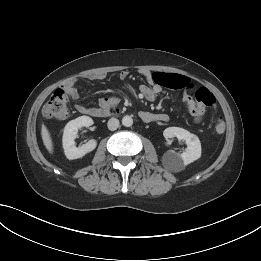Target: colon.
Instances as JSON below:
<instances>
[{"label": "colon", "instance_id": "colon-1", "mask_svg": "<svg viewBox=\"0 0 261 261\" xmlns=\"http://www.w3.org/2000/svg\"><path fill=\"white\" fill-rule=\"evenodd\" d=\"M196 102L202 109L214 107L216 99L206 88H200L196 92ZM43 116L48 119L65 120L69 117L68 95L64 89H57L42 109ZM215 130L222 133L225 130V122L221 116L215 120Z\"/></svg>", "mask_w": 261, "mask_h": 261}]
</instances>
